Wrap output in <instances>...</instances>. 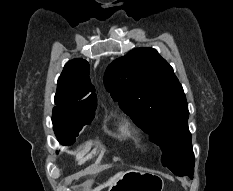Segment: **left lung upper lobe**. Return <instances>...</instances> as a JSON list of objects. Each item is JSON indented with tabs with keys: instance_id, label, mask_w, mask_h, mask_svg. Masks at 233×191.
I'll return each mask as SVG.
<instances>
[{
	"instance_id": "1",
	"label": "left lung upper lobe",
	"mask_w": 233,
	"mask_h": 191,
	"mask_svg": "<svg viewBox=\"0 0 233 191\" xmlns=\"http://www.w3.org/2000/svg\"><path fill=\"white\" fill-rule=\"evenodd\" d=\"M104 81L113 100L150 134L176 174L194 169L188 105L173 68L153 48H136L113 61Z\"/></svg>"
}]
</instances>
